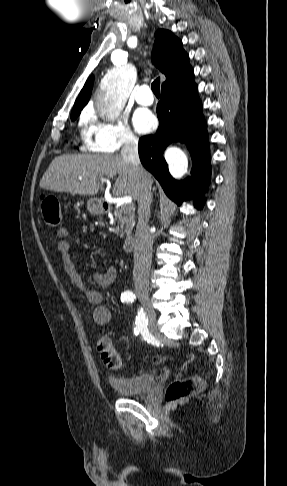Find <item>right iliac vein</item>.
Wrapping results in <instances>:
<instances>
[{
  "label": "right iliac vein",
  "mask_w": 287,
  "mask_h": 486,
  "mask_svg": "<svg viewBox=\"0 0 287 486\" xmlns=\"http://www.w3.org/2000/svg\"><path fill=\"white\" fill-rule=\"evenodd\" d=\"M137 296H138V299L140 300V302L142 303V305L145 309L146 316H147V319H148V322H149L150 331L152 333H156L157 332L156 314H155V311L150 304V300H149V296H148L147 291L139 290L137 292Z\"/></svg>",
  "instance_id": "1"
}]
</instances>
